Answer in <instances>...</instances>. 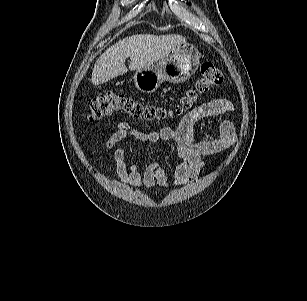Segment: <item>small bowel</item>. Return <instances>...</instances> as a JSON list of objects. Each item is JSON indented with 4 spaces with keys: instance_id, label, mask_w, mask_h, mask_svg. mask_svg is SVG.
Listing matches in <instances>:
<instances>
[{
    "instance_id": "small-bowel-1",
    "label": "small bowel",
    "mask_w": 307,
    "mask_h": 301,
    "mask_svg": "<svg viewBox=\"0 0 307 301\" xmlns=\"http://www.w3.org/2000/svg\"><path fill=\"white\" fill-rule=\"evenodd\" d=\"M231 111L232 102L219 98L204 102L189 111L177 128L164 127L159 131H140L129 122H120L105 141L104 147L111 150L127 139L145 145L158 146L161 142L173 145L181 160L174 169L173 183L180 186L198 177L205 167V157L224 153L236 141L234 126L230 120H223L219 125V138L210 140H195V124ZM126 153L127 147L119 145L113 154L116 173L124 184L144 188H151L156 184L164 188L169 186L170 182L163 167L154 163L142 171L138 162L131 165L126 163Z\"/></svg>"
}]
</instances>
